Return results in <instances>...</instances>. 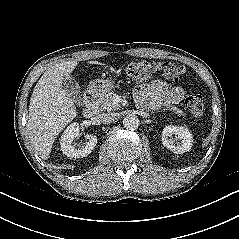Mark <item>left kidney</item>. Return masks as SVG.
I'll return each mask as SVG.
<instances>
[{"instance_id":"obj_1","label":"left kidney","mask_w":239,"mask_h":239,"mask_svg":"<svg viewBox=\"0 0 239 239\" xmlns=\"http://www.w3.org/2000/svg\"><path fill=\"white\" fill-rule=\"evenodd\" d=\"M192 138L191 132L183 126L168 125L161 134L163 145L176 154L189 151L192 147Z\"/></svg>"}]
</instances>
